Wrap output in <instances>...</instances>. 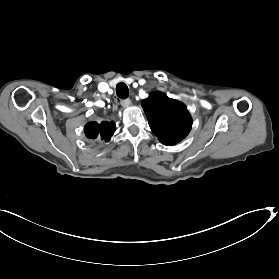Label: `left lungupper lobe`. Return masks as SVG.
<instances>
[{"mask_svg": "<svg viewBox=\"0 0 279 279\" xmlns=\"http://www.w3.org/2000/svg\"><path fill=\"white\" fill-rule=\"evenodd\" d=\"M142 107L152 132L164 145H175L188 135L192 119L182 103L153 92L143 100Z\"/></svg>", "mask_w": 279, "mask_h": 279, "instance_id": "left-lung-upper-lobe-1", "label": "left lung upper lobe"}]
</instances>
